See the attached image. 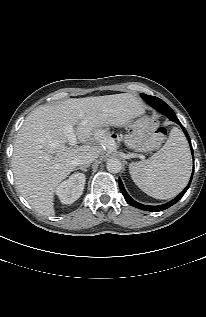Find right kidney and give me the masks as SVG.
Here are the masks:
<instances>
[{
	"mask_svg": "<svg viewBox=\"0 0 206 317\" xmlns=\"http://www.w3.org/2000/svg\"><path fill=\"white\" fill-rule=\"evenodd\" d=\"M86 177L82 173L72 174L56 188V194L63 204H72L83 193Z\"/></svg>",
	"mask_w": 206,
	"mask_h": 317,
	"instance_id": "obj_1",
	"label": "right kidney"
}]
</instances>
